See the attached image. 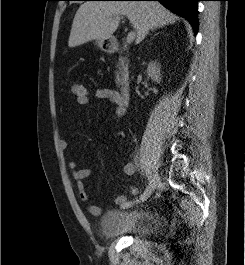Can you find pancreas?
<instances>
[{
	"label": "pancreas",
	"mask_w": 245,
	"mask_h": 265,
	"mask_svg": "<svg viewBox=\"0 0 245 265\" xmlns=\"http://www.w3.org/2000/svg\"><path fill=\"white\" fill-rule=\"evenodd\" d=\"M117 68L118 70L115 72L116 74L115 82L117 86H119L122 83L123 77L128 75V64L126 63V61H124L123 63H119L117 65Z\"/></svg>",
	"instance_id": "1"
}]
</instances>
